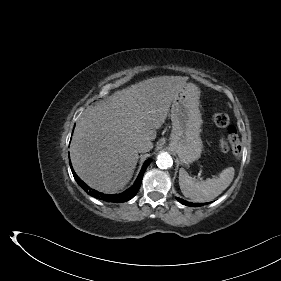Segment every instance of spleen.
Wrapping results in <instances>:
<instances>
[{
	"mask_svg": "<svg viewBox=\"0 0 281 281\" xmlns=\"http://www.w3.org/2000/svg\"><path fill=\"white\" fill-rule=\"evenodd\" d=\"M233 167L224 169L219 177L208 178L205 181H195L181 168L179 170V185L183 195L194 202H209L219 196L233 181Z\"/></svg>",
	"mask_w": 281,
	"mask_h": 281,
	"instance_id": "obj_1",
	"label": "spleen"
}]
</instances>
